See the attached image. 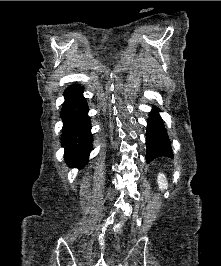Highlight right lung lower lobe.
<instances>
[{"label":"right lung lower lobe","mask_w":221,"mask_h":266,"mask_svg":"<svg viewBox=\"0 0 221 266\" xmlns=\"http://www.w3.org/2000/svg\"><path fill=\"white\" fill-rule=\"evenodd\" d=\"M65 102L61 110L64 123L62 143L65 159L70 167L82 168L87 164L92 148V135L88 105L80 85H71L65 92Z\"/></svg>","instance_id":"right-lung-lower-lobe-1"}]
</instances>
